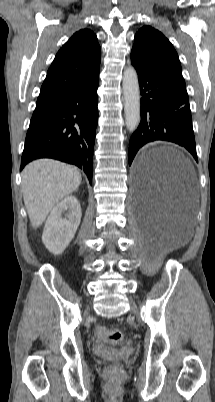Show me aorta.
Listing matches in <instances>:
<instances>
[{
    "instance_id": "obj_1",
    "label": "aorta",
    "mask_w": 215,
    "mask_h": 402,
    "mask_svg": "<svg viewBox=\"0 0 215 402\" xmlns=\"http://www.w3.org/2000/svg\"><path fill=\"white\" fill-rule=\"evenodd\" d=\"M122 87L126 127L129 132H134L140 123V89L133 67L124 70Z\"/></svg>"
}]
</instances>
